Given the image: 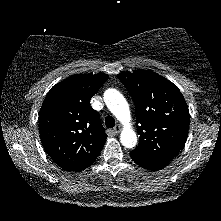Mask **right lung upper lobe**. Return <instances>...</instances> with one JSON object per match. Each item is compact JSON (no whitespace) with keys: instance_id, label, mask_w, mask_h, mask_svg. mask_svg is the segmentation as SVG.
I'll use <instances>...</instances> for the list:
<instances>
[{"instance_id":"obj_1","label":"right lung upper lobe","mask_w":221,"mask_h":221,"mask_svg":"<svg viewBox=\"0 0 221 221\" xmlns=\"http://www.w3.org/2000/svg\"><path fill=\"white\" fill-rule=\"evenodd\" d=\"M108 75H72L54 85L39 113V131L44 149L64 170L81 171L103 149L107 135L91 97Z\"/></svg>"}]
</instances>
